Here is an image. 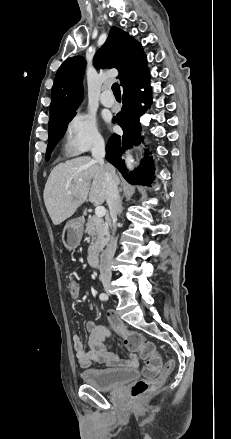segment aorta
<instances>
[{
  "instance_id": "1",
  "label": "aorta",
  "mask_w": 231,
  "mask_h": 439,
  "mask_svg": "<svg viewBox=\"0 0 231 439\" xmlns=\"http://www.w3.org/2000/svg\"><path fill=\"white\" fill-rule=\"evenodd\" d=\"M125 163H126L127 168L129 170H132L133 169V164H134L133 156L130 155V154H127L126 158H125Z\"/></svg>"
}]
</instances>
